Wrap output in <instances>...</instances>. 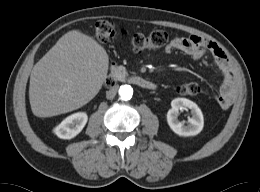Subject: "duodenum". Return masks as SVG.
Wrapping results in <instances>:
<instances>
[{
  "instance_id": "duodenum-1",
  "label": "duodenum",
  "mask_w": 260,
  "mask_h": 192,
  "mask_svg": "<svg viewBox=\"0 0 260 192\" xmlns=\"http://www.w3.org/2000/svg\"><path fill=\"white\" fill-rule=\"evenodd\" d=\"M110 77L113 81L116 82H127L129 84L138 86L147 90H155L157 85L151 80L139 76V75H130L127 71L119 66L113 67L110 72Z\"/></svg>"
}]
</instances>
